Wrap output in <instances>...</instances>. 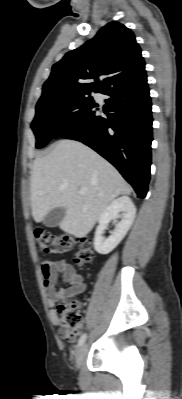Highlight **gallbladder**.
Instances as JSON below:
<instances>
[{
	"instance_id": "obj_1",
	"label": "gallbladder",
	"mask_w": 182,
	"mask_h": 399,
	"mask_svg": "<svg viewBox=\"0 0 182 399\" xmlns=\"http://www.w3.org/2000/svg\"><path fill=\"white\" fill-rule=\"evenodd\" d=\"M65 214H66L65 208L63 207L54 208L46 214L44 218V224L47 227H56L62 221Z\"/></svg>"
}]
</instances>
